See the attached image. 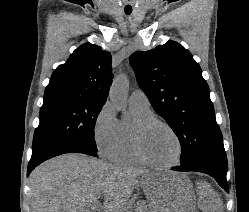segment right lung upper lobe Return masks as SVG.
Segmentation results:
<instances>
[{
	"instance_id": "right-lung-upper-lobe-1",
	"label": "right lung upper lobe",
	"mask_w": 249,
	"mask_h": 212,
	"mask_svg": "<svg viewBox=\"0 0 249 212\" xmlns=\"http://www.w3.org/2000/svg\"><path fill=\"white\" fill-rule=\"evenodd\" d=\"M111 54L99 46L85 43L54 70L44 98L79 96L105 104L112 83Z\"/></svg>"
}]
</instances>
